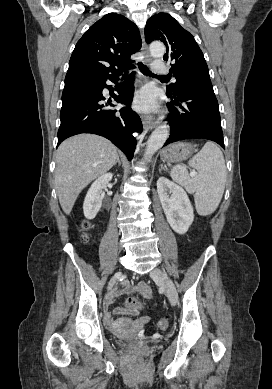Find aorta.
Listing matches in <instances>:
<instances>
[{
    "instance_id": "aorta-1",
    "label": "aorta",
    "mask_w": 272,
    "mask_h": 389,
    "mask_svg": "<svg viewBox=\"0 0 272 389\" xmlns=\"http://www.w3.org/2000/svg\"><path fill=\"white\" fill-rule=\"evenodd\" d=\"M150 55L153 58H161L165 53V46L161 42H153L149 47ZM169 137V126L163 124L158 126L150 135L147 141L145 158L151 157L158 149H160Z\"/></svg>"
}]
</instances>
